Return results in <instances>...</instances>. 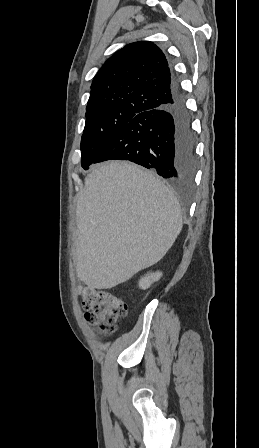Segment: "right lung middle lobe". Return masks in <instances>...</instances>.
Listing matches in <instances>:
<instances>
[{
    "mask_svg": "<svg viewBox=\"0 0 259 448\" xmlns=\"http://www.w3.org/2000/svg\"><path fill=\"white\" fill-rule=\"evenodd\" d=\"M136 111L87 113L81 140V165L87 170L107 145L136 115Z\"/></svg>",
    "mask_w": 259,
    "mask_h": 448,
    "instance_id": "right-lung-middle-lobe-1",
    "label": "right lung middle lobe"
}]
</instances>
